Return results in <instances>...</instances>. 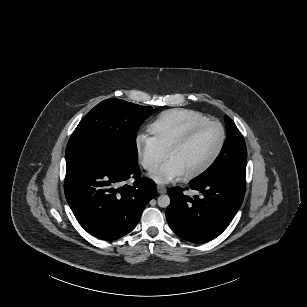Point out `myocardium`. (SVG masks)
Returning <instances> with one entry per match:
<instances>
[{"label": "myocardium", "mask_w": 307, "mask_h": 307, "mask_svg": "<svg viewBox=\"0 0 307 307\" xmlns=\"http://www.w3.org/2000/svg\"><path fill=\"white\" fill-rule=\"evenodd\" d=\"M212 125H219L222 128L223 138H222L221 144H220L219 148L217 149V151L215 152V154L212 156V158L205 165H203L200 169L185 175L184 176L185 180H191V179L197 178L199 176H202L203 174L208 172L216 164V162L221 157V155H222V153H223V151H224V149L227 145V141H228L227 127L220 121L206 122V123L199 125L198 127L194 128L193 130H191L182 139L174 142L166 150L165 160H168V158L171 154H173L174 152H177V151L183 149L184 147H186L188 144H190L199 135V133L201 131H203L204 129H206L207 127H210Z\"/></svg>", "instance_id": "1"}]
</instances>
